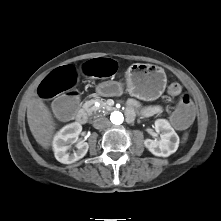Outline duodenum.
<instances>
[{"mask_svg": "<svg viewBox=\"0 0 221 221\" xmlns=\"http://www.w3.org/2000/svg\"><path fill=\"white\" fill-rule=\"evenodd\" d=\"M131 118V117H130ZM76 120L81 123L84 124L87 121V114L84 110H79L76 114Z\"/></svg>", "mask_w": 221, "mask_h": 221, "instance_id": "duodenum-1", "label": "duodenum"}]
</instances>
